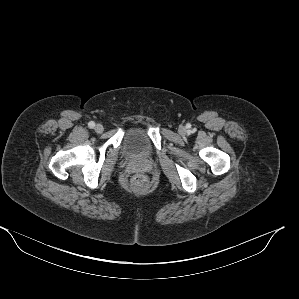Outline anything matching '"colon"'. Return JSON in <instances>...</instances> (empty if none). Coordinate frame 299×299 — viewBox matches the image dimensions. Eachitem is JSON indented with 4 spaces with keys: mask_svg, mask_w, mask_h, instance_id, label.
Listing matches in <instances>:
<instances>
[{
    "mask_svg": "<svg viewBox=\"0 0 299 299\" xmlns=\"http://www.w3.org/2000/svg\"><path fill=\"white\" fill-rule=\"evenodd\" d=\"M132 185L135 188L143 189V188H145L148 185V179L143 174H137L132 179Z\"/></svg>",
    "mask_w": 299,
    "mask_h": 299,
    "instance_id": "obj_1",
    "label": "colon"
}]
</instances>
